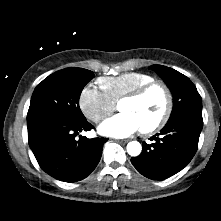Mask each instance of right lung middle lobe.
I'll list each match as a JSON object with an SVG mask.
<instances>
[{
    "label": "right lung middle lobe",
    "instance_id": "dd1d6c3e",
    "mask_svg": "<svg viewBox=\"0 0 221 221\" xmlns=\"http://www.w3.org/2000/svg\"><path fill=\"white\" fill-rule=\"evenodd\" d=\"M94 73L83 68L59 70L39 83L32 95L27 126L49 118L83 120L79 98Z\"/></svg>",
    "mask_w": 221,
    "mask_h": 221
}]
</instances>
